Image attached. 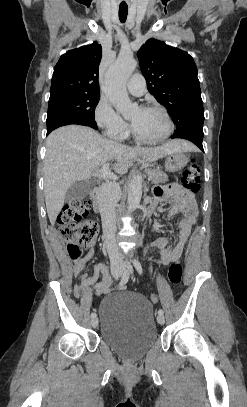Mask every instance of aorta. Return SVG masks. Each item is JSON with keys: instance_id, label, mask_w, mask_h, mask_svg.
I'll return each instance as SVG.
<instances>
[{"instance_id": "762f6f07", "label": "aorta", "mask_w": 247, "mask_h": 407, "mask_svg": "<svg viewBox=\"0 0 247 407\" xmlns=\"http://www.w3.org/2000/svg\"><path fill=\"white\" fill-rule=\"evenodd\" d=\"M137 66L131 56H119L105 74L103 92L113 104L116 111L122 115L130 113L134 104L128 97L126 83ZM142 196V177L136 174L132 177L128 191V208L134 211L140 204Z\"/></svg>"}]
</instances>
